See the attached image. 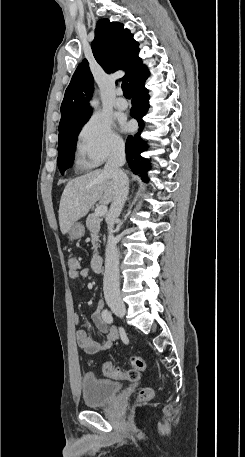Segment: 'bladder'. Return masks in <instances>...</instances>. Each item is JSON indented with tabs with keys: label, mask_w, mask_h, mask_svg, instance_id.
I'll use <instances>...</instances> for the list:
<instances>
[{
	"label": "bladder",
	"mask_w": 245,
	"mask_h": 457,
	"mask_svg": "<svg viewBox=\"0 0 245 457\" xmlns=\"http://www.w3.org/2000/svg\"><path fill=\"white\" fill-rule=\"evenodd\" d=\"M81 384L85 406L108 404L109 398L120 391L119 382L99 380L91 374L84 375Z\"/></svg>",
	"instance_id": "1"
}]
</instances>
